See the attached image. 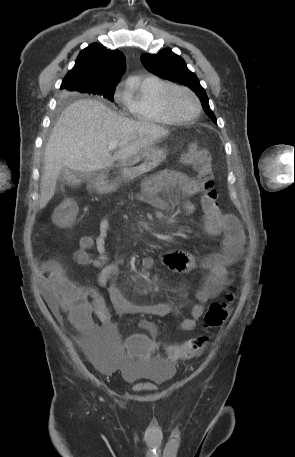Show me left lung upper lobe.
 <instances>
[{
	"label": "left lung upper lobe",
	"instance_id": "left-lung-upper-lobe-1",
	"mask_svg": "<svg viewBox=\"0 0 295 457\" xmlns=\"http://www.w3.org/2000/svg\"><path fill=\"white\" fill-rule=\"evenodd\" d=\"M141 61L149 72L163 79L177 81L192 89L199 96L205 113L216 122L205 90L200 85L197 76L187 68L182 57L173 53L171 49L165 48L157 54L142 55Z\"/></svg>",
	"mask_w": 295,
	"mask_h": 457
}]
</instances>
